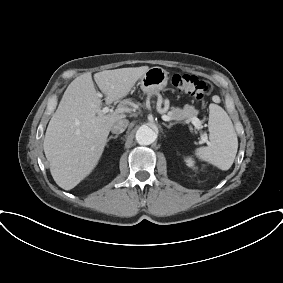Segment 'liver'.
<instances>
[{
    "mask_svg": "<svg viewBox=\"0 0 283 283\" xmlns=\"http://www.w3.org/2000/svg\"><path fill=\"white\" fill-rule=\"evenodd\" d=\"M148 70V66L104 70L95 73L94 80L105 94L106 104H111L127 96ZM98 94L90 72L78 76L67 87L48 124L43 148L51 175L64 190L74 188L92 172L111 127L126 117L123 112L130 100L106 114Z\"/></svg>",
    "mask_w": 283,
    "mask_h": 283,
    "instance_id": "liver-1",
    "label": "liver"
}]
</instances>
